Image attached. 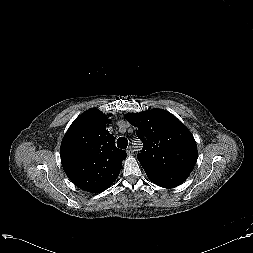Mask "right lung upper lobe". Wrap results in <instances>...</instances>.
<instances>
[{
  "label": "right lung upper lobe",
  "instance_id": "obj_1",
  "mask_svg": "<svg viewBox=\"0 0 253 253\" xmlns=\"http://www.w3.org/2000/svg\"><path fill=\"white\" fill-rule=\"evenodd\" d=\"M107 121L101 111L90 109L71 124L61 143L66 175L80 189L92 193L106 190L115 181L127 157L106 130Z\"/></svg>",
  "mask_w": 253,
  "mask_h": 253
}]
</instances>
